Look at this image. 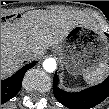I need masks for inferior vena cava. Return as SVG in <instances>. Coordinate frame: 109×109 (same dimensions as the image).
<instances>
[{
	"label": "inferior vena cava",
	"instance_id": "obj_1",
	"mask_svg": "<svg viewBox=\"0 0 109 109\" xmlns=\"http://www.w3.org/2000/svg\"><path fill=\"white\" fill-rule=\"evenodd\" d=\"M22 57L24 60H31L33 59V53L31 51H24Z\"/></svg>",
	"mask_w": 109,
	"mask_h": 109
}]
</instances>
